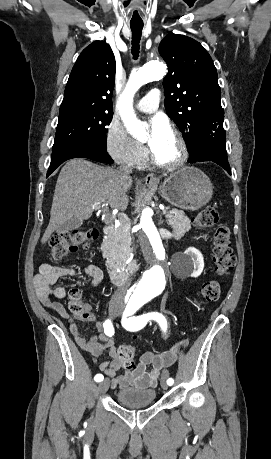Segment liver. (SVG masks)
Returning a JSON list of instances; mask_svg holds the SVG:
<instances>
[{
    "label": "liver",
    "instance_id": "1",
    "mask_svg": "<svg viewBox=\"0 0 271 459\" xmlns=\"http://www.w3.org/2000/svg\"><path fill=\"white\" fill-rule=\"evenodd\" d=\"M132 184L133 180L128 174L97 166L85 158L70 160L58 176L50 222L44 231L42 243L48 241L54 229L71 218H91L93 208L100 204H109L115 210H126L128 198L125 194Z\"/></svg>",
    "mask_w": 271,
    "mask_h": 459
}]
</instances>
